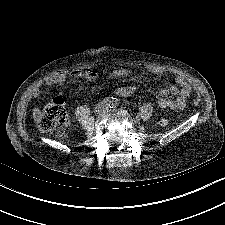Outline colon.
<instances>
[{
  "instance_id": "colon-1",
  "label": "colon",
  "mask_w": 225,
  "mask_h": 225,
  "mask_svg": "<svg viewBox=\"0 0 225 225\" xmlns=\"http://www.w3.org/2000/svg\"><path fill=\"white\" fill-rule=\"evenodd\" d=\"M37 122L43 132L57 133L61 137H66L70 131L67 111L60 98L53 100L39 112ZM168 123L169 120L166 117L159 120L161 127L167 126Z\"/></svg>"
}]
</instances>
